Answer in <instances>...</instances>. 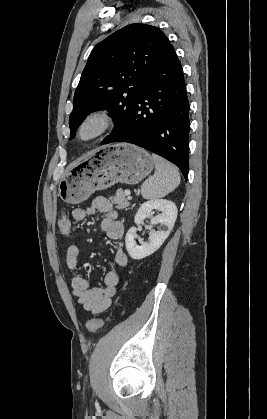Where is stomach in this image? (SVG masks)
I'll list each match as a JSON object with an SVG mask.
<instances>
[{"mask_svg": "<svg viewBox=\"0 0 267 419\" xmlns=\"http://www.w3.org/2000/svg\"><path fill=\"white\" fill-rule=\"evenodd\" d=\"M152 156L127 143L103 146L72 165L58 184V196L66 203L78 204L93 192L115 183L137 184L153 170Z\"/></svg>", "mask_w": 267, "mask_h": 419, "instance_id": "1", "label": "stomach"}]
</instances>
